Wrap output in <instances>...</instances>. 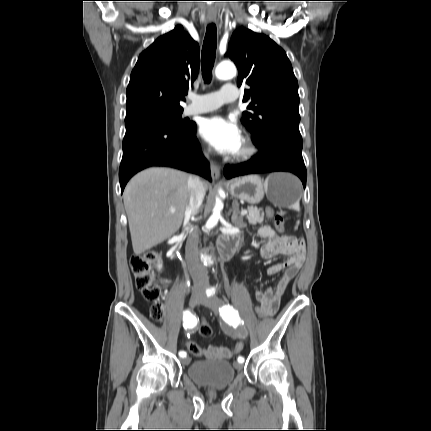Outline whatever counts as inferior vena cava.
Here are the masks:
<instances>
[{
	"label": "inferior vena cava",
	"instance_id": "inferior-vena-cava-1",
	"mask_svg": "<svg viewBox=\"0 0 431 431\" xmlns=\"http://www.w3.org/2000/svg\"><path fill=\"white\" fill-rule=\"evenodd\" d=\"M188 192L189 198L185 208V222H189L191 218H194L204 200L205 187L198 176H189ZM198 241L197 232L192 231L186 243V257L188 261L191 262L190 273L194 282V291L202 292L204 290L207 276L206 273L195 263L199 253Z\"/></svg>",
	"mask_w": 431,
	"mask_h": 431
}]
</instances>
